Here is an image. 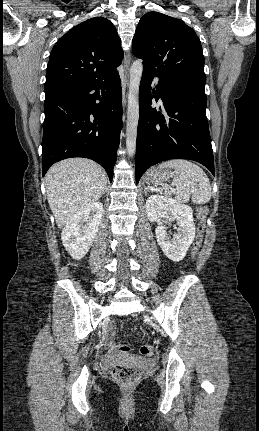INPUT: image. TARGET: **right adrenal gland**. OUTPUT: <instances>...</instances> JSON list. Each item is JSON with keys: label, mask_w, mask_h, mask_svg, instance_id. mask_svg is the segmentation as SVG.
Masks as SVG:
<instances>
[{"label": "right adrenal gland", "mask_w": 259, "mask_h": 431, "mask_svg": "<svg viewBox=\"0 0 259 431\" xmlns=\"http://www.w3.org/2000/svg\"><path fill=\"white\" fill-rule=\"evenodd\" d=\"M107 191V187H105L104 193Z\"/></svg>", "instance_id": "obj_1"}]
</instances>
